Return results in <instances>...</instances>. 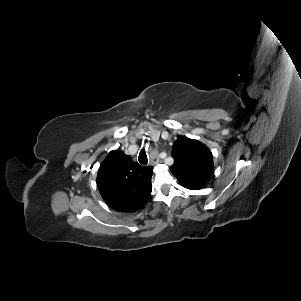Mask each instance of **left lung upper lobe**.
<instances>
[{
    "label": "left lung upper lobe",
    "mask_w": 301,
    "mask_h": 301,
    "mask_svg": "<svg viewBox=\"0 0 301 301\" xmlns=\"http://www.w3.org/2000/svg\"><path fill=\"white\" fill-rule=\"evenodd\" d=\"M170 168L180 184L190 190L202 188L213 172V156L203 143L180 136L173 144Z\"/></svg>",
    "instance_id": "1"
}]
</instances>
